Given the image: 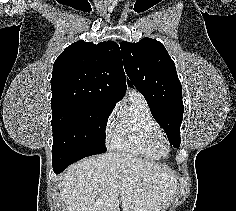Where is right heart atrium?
I'll return each instance as SVG.
<instances>
[{"mask_svg": "<svg viewBox=\"0 0 236 211\" xmlns=\"http://www.w3.org/2000/svg\"><path fill=\"white\" fill-rule=\"evenodd\" d=\"M115 120H116L115 111L113 110L107 115L105 123H104V135L106 139H109L111 137Z\"/></svg>", "mask_w": 236, "mask_h": 211, "instance_id": "right-heart-atrium-1", "label": "right heart atrium"}]
</instances>
